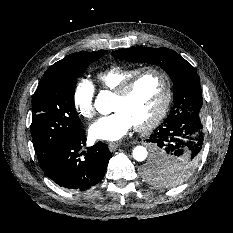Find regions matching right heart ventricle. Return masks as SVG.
I'll return each instance as SVG.
<instances>
[{
	"label": "right heart ventricle",
	"mask_w": 233,
	"mask_h": 233,
	"mask_svg": "<svg viewBox=\"0 0 233 233\" xmlns=\"http://www.w3.org/2000/svg\"><path fill=\"white\" fill-rule=\"evenodd\" d=\"M140 69L138 67L115 65L98 72L96 80L102 89L115 92L126 79Z\"/></svg>",
	"instance_id": "right-heart-ventricle-1"
}]
</instances>
